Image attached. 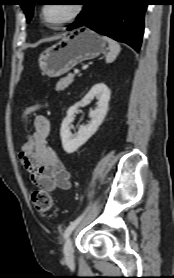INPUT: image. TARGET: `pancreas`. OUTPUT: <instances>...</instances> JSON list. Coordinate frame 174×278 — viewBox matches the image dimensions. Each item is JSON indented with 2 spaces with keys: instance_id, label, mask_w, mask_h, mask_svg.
Returning <instances> with one entry per match:
<instances>
[{
  "instance_id": "obj_1",
  "label": "pancreas",
  "mask_w": 174,
  "mask_h": 278,
  "mask_svg": "<svg viewBox=\"0 0 174 278\" xmlns=\"http://www.w3.org/2000/svg\"><path fill=\"white\" fill-rule=\"evenodd\" d=\"M74 80V74H68L66 77L61 78L58 83L56 84L57 91H63L67 88Z\"/></svg>"
}]
</instances>
